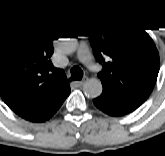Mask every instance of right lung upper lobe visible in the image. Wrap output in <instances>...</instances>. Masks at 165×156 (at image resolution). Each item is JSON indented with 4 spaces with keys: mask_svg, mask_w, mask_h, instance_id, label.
Segmentation results:
<instances>
[{
    "mask_svg": "<svg viewBox=\"0 0 165 156\" xmlns=\"http://www.w3.org/2000/svg\"><path fill=\"white\" fill-rule=\"evenodd\" d=\"M57 28H28L9 36L0 45V96L20 117L43 122L70 94L64 70L50 57Z\"/></svg>",
    "mask_w": 165,
    "mask_h": 156,
    "instance_id": "1",
    "label": "right lung upper lobe"
}]
</instances>
